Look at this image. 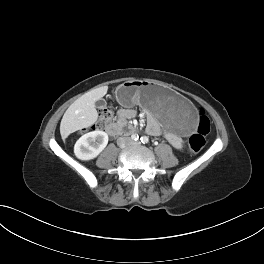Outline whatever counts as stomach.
I'll return each instance as SVG.
<instances>
[{
  "instance_id": "obj_1",
  "label": "stomach",
  "mask_w": 264,
  "mask_h": 264,
  "mask_svg": "<svg viewBox=\"0 0 264 264\" xmlns=\"http://www.w3.org/2000/svg\"><path fill=\"white\" fill-rule=\"evenodd\" d=\"M123 105H139L169 132L192 136L196 132L194 108L175 91L150 80H131L119 86Z\"/></svg>"
}]
</instances>
